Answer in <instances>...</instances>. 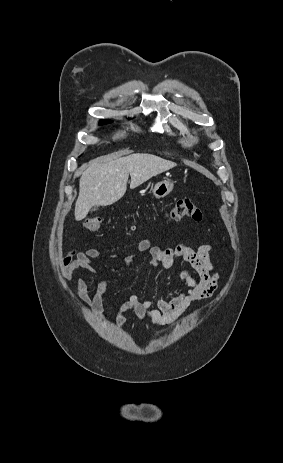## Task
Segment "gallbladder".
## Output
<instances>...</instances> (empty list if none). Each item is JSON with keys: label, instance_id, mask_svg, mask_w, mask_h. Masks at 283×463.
Here are the masks:
<instances>
[{"label": "gallbladder", "instance_id": "gallbladder-1", "mask_svg": "<svg viewBox=\"0 0 283 463\" xmlns=\"http://www.w3.org/2000/svg\"><path fill=\"white\" fill-rule=\"evenodd\" d=\"M98 210V207L92 208L91 212Z\"/></svg>", "mask_w": 283, "mask_h": 463}]
</instances>
